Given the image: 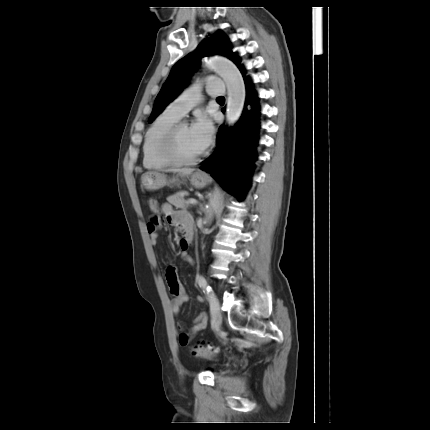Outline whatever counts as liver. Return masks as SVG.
Segmentation results:
<instances>
[{
	"mask_svg": "<svg viewBox=\"0 0 430 430\" xmlns=\"http://www.w3.org/2000/svg\"><path fill=\"white\" fill-rule=\"evenodd\" d=\"M168 172H177L183 176H189L190 174H192V172L194 171V169L192 168H183V169H173V170H167Z\"/></svg>",
	"mask_w": 430,
	"mask_h": 430,
	"instance_id": "obj_1",
	"label": "liver"
}]
</instances>
